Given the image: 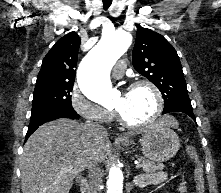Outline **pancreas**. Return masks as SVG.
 <instances>
[{
	"label": "pancreas",
	"mask_w": 221,
	"mask_h": 193,
	"mask_svg": "<svg viewBox=\"0 0 221 193\" xmlns=\"http://www.w3.org/2000/svg\"><path fill=\"white\" fill-rule=\"evenodd\" d=\"M138 161L141 162L142 170L146 173H154L156 171H161L165 168L164 164H156L155 162H152L150 160H146L142 157L138 158Z\"/></svg>",
	"instance_id": "cf45deb5"
}]
</instances>
